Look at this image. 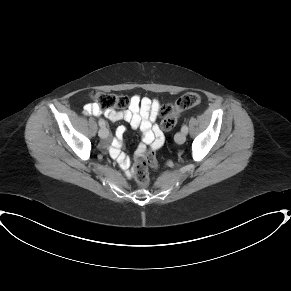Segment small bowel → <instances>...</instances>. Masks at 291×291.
Masks as SVG:
<instances>
[{
	"instance_id": "obj_1",
	"label": "small bowel",
	"mask_w": 291,
	"mask_h": 291,
	"mask_svg": "<svg viewBox=\"0 0 291 291\" xmlns=\"http://www.w3.org/2000/svg\"><path fill=\"white\" fill-rule=\"evenodd\" d=\"M160 103L157 99L148 97H140L134 95L130 99L127 109L116 110L109 109L101 111L96 104H87L84 108L86 114H93L95 116L104 114L109 120L116 122L124 120L134 129H139L143 135V142L145 145H153L155 141L160 140L162 143V131L156 124V118L159 114ZM125 132V127L120 126L117 131V136L113 139L111 144V153L114 156L118 155V146L120 139ZM144 145H140V149H144ZM119 163L127 178L134 176L130 170V160L127 157H119Z\"/></svg>"
}]
</instances>
